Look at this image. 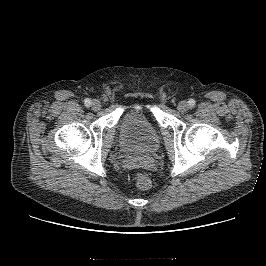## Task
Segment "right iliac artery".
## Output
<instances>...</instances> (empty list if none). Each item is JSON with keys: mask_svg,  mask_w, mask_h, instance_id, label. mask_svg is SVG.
Here are the masks:
<instances>
[{"mask_svg": "<svg viewBox=\"0 0 266 266\" xmlns=\"http://www.w3.org/2000/svg\"><path fill=\"white\" fill-rule=\"evenodd\" d=\"M84 103H85L86 106H89V105L91 104V100L88 99V98H86V99L84 100Z\"/></svg>", "mask_w": 266, "mask_h": 266, "instance_id": "82829eb1", "label": "right iliac artery"}]
</instances>
